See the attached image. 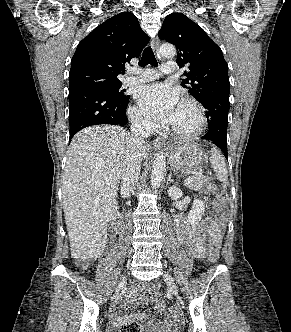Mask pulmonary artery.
Returning <instances> with one entry per match:
<instances>
[{
	"mask_svg": "<svg viewBox=\"0 0 291 332\" xmlns=\"http://www.w3.org/2000/svg\"><path fill=\"white\" fill-rule=\"evenodd\" d=\"M177 69V64L174 61L166 62L160 71L156 69H144L136 75L125 79L124 83L127 85L149 82L158 79L162 74L174 73Z\"/></svg>",
	"mask_w": 291,
	"mask_h": 332,
	"instance_id": "obj_1",
	"label": "pulmonary artery"
}]
</instances>
